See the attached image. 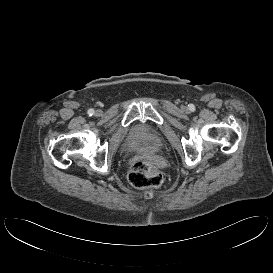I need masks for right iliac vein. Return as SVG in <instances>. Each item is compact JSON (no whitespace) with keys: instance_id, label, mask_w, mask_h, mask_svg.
Instances as JSON below:
<instances>
[{"instance_id":"63e3f726","label":"right iliac vein","mask_w":273,"mask_h":273,"mask_svg":"<svg viewBox=\"0 0 273 273\" xmlns=\"http://www.w3.org/2000/svg\"><path fill=\"white\" fill-rule=\"evenodd\" d=\"M101 113H102L101 110H97V111H96V114H97V115H101Z\"/></svg>"}]
</instances>
